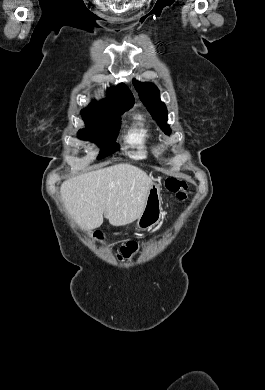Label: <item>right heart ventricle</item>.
Returning a JSON list of instances; mask_svg holds the SVG:
<instances>
[{
	"label": "right heart ventricle",
	"mask_w": 265,
	"mask_h": 390,
	"mask_svg": "<svg viewBox=\"0 0 265 390\" xmlns=\"http://www.w3.org/2000/svg\"><path fill=\"white\" fill-rule=\"evenodd\" d=\"M154 140V133L146 124L142 115L134 117L132 128L125 136L126 143L133 149L131 156L134 158H145L148 155V148Z\"/></svg>",
	"instance_id": "right-heart-ventricle-1"
}]
</instances>
